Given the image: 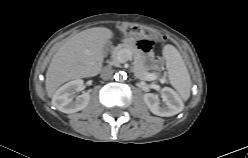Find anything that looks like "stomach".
Here are the masks:
<instances>
[{"mask_svg": "<svg viewBox=\"0 0 248 158\" xmlns=\"http://www.w3.org/2000/svg\"><path fill=\"white\" fill-rule=\"evenodd\" d=\"M135 40H136V34L135 33H131L130 35H128L126 38H125V44H132V43H135Z\"/></svg>", "mask_w": 248, "mask_h": 158, "instance_id": "1", "label": "stomach"}]
</instances>
